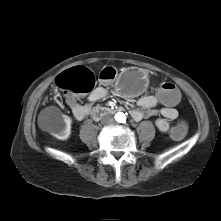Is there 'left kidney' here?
Returning <instances> with one entry per match:
<instances>
[{"instance_id":"obj_1","label":"left kidney","mask_w":221,"mask_h":221,"mask_svg":"<svg viewBox=\"0 0 221 221\" xmlns=\"http://www.w3.org/2000/svg\"><path fill=\"white\" fill-rule=\"evenodd\" d=\"M155 125L161 132H167L169 130V123L165 119H157Z\"/></svg>"}]
</instances>
